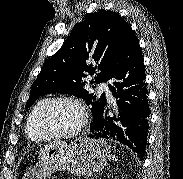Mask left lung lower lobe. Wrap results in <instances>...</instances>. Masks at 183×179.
<instances>
[{
	"label": "left lung lower lobe",
	"mask_w": 183,
	"mask_h": 179,
	"mask_svg": "<svg viewBox=\"0 0 183 179\" xmlns=\"http://www.w3.org/2000/svg\"><path fill=\"white\" fill-rule=\"evenodd\" d=\"M139 41L132 31L127 33L110 79V90L117 98L113 117L103 109L91 124V138L117 140L127 145L142 160L149 128L148 91ZM108 110V109H107Z\"/></svg>",
	"instance_id": "left-lung-lower-lobe-1"
}]
</instances>
